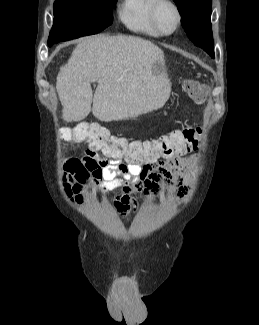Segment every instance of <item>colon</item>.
Masks as SVG:
<instances>
[{"label": "colon", "instance_id": "obj_1", "mask_svg": "<svg viewBox=\"0 0 259 325\" xmlns=\"http://www.w3.org/2000/svg\"><path fill=\"white\" fill-rule=\"evenodd\" d=\"M183 90L197 103H204L207 100V87L196 80H185ZM201 131L202 126L196 125L195 128L173 131L152 140L129 141L111 135L106 128L98 124H79L71 129H65L61 137L67 142L74 140L87 142L91 149L101 151L113 159L140 163L175 149H197V142L202 141V136L196 135V132Z\"/></svg>", "mask_w": 259, "mask_h": 325}]
</instances>
